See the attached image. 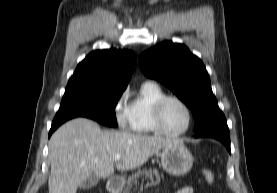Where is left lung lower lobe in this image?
Segmentation results:
<instances>
[{
    "instance_id": "left-lung-lower-lobe-1",
    "label": "left lung lower lobe",
    "mask_w": 277,
    "mask_h": 193,
    "mask_svg": "<svg viewBox=\"0 0 277 193\" xmlns=\"http://www.w3.org/2000/svg\"><path fill=\"white\" fill-rule=\"evenodd\" d=\"M196 138L200 137H211L221 141L227 148V150L231 153L230 149V134L227 123H222L211 127L204 132L194 135Z\"/></svg>"
}]
</instances>
